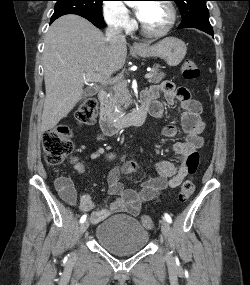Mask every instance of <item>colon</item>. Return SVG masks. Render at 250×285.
<instances>
[{
  "instance_id": "colon-1",
  "label": "colon",
  "mask_w": 250,
  "mask_h": 285,
  "mask_svg": "<svg viewBox=\"0 0 250 285\" xmlns=\"http://www.w3.org/2000/svg\"><path fill=\"white\" fill-rule=\"evenodd\" d=\"M184 79L193 80L200 76V70L192 60H186L181 68ZM97 102L94 99L86 100L78 109L76 119L80 124H91L96 119ZM72 131L68 126H58L47 130L43 134V151L45 160L51 165L62 163L73 150L71 140ZM200 155L197 151L192 152L186 160L188 174L194 175L198 169ZM195 191V184L192 178L187 179L181 186L179 192L180 201L188 200ZM141 224L146 229L154 227L153 219L148 215H143Z\"/></svg>"
}]
</instances>
